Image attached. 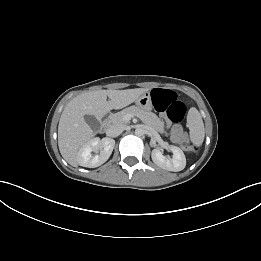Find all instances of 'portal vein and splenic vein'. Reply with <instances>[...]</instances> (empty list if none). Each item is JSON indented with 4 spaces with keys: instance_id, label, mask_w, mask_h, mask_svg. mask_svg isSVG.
<instances>
[{
    "instance_id": "18ae733b",
    "label": "portal vein and splenic vein",
    "mask_w": 261,
    "mask_h": 261,
    "mask_svg": "<svg viewBox=\"0 0 261 261\" xmlns=\"http://www.w3.org/2000/svg\"><path fill=\"white\" fill-rule=\"evenodd\" d=\"M132 117H133V115L127 114V115L124 116V119L129 121Z\"/></svg>"
}]
</instances>
